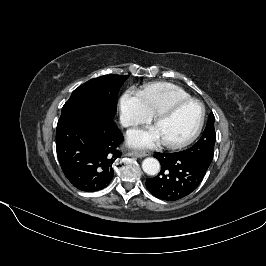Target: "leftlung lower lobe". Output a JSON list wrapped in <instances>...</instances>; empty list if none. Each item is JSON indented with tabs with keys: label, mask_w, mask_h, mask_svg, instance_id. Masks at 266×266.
Returning a JSON list of instances; mask_svg holds the SVG:
<instances>
[{
	"label": "left lung lower lobe",
	"mask_w": 266,
	"mask_h": 266,
	"mask_svg": "<svg viewBox=\"0 0 266 266\" xmlns=\"http://www.w3.org/2000/svg\"><path fill=\"white\" fill-rule=\"evenodd\" d=\"M154 156L161 163V171L146 181L147 189L157 198L179 200L192 193L203 180L207 169L180 152L158 153Z\"/></svg>",
	"instance_id": "1"
}]
</instances>
